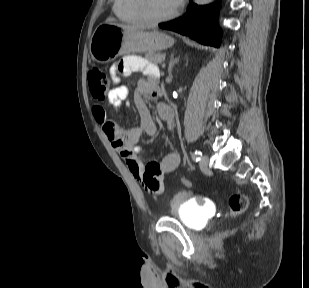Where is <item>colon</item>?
I'll return each mask as SVG.
<instances>
[{
    "instance_id": "colon-1",
    "label": "colon",
    "mask_w": 309,
    "mask_h": 288,
    "mask_svg": "<svg viewBox=\"0 0 309 288\" xmlns=\"http://www.w3.org/2000/svg\"><path fill=\"white\" fill-rule=\"evenodd\" d=\"M88 83L91 95L97 100H104L108 93V79L105 71L94 67L88 72ZM181 183L184 186H190L191 181L183 177ZM248 206L247 197L241 193H233L229 197V207L231 214L237 215L246 210Z\"/></svg>"
}]
</instances>
